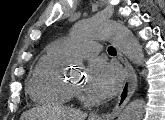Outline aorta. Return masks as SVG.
Segmentation results:
<instances>
[{
  "label": "aorta",
  "instance_id": "1",
  "mask_svg": "<svg viewBox=\"0 0 165 120\" xmlns=\"http://www.w3.org/2000/svg\"><path fill=\"white\" fill-rule=\"evenodd\" d=\"M75 31L80 36L96 39H111L121 52L134 64H144L142 47L133 33L117 21L91 18L80 21L75 26ZM144 115V101H132L121 113L119 120H141Z\"/></svg>",
  "mask_w": 165,
  "mask_h": 120
}]
</instances>
